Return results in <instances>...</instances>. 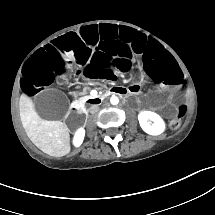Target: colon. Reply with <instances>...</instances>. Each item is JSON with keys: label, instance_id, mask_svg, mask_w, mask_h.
<instances>
[{"label": "colon", "instance_id": "colon-1", "mask_svg": "<svg viewBox=\"0 0 215 215\" xmlns=\"http://www.w3.org/2000/svg\"><path fill=\"white\" fill-rule=\"evenodd\" d=\"M187 106L185 104H182V105H179L177 110H176V113L174 115V117L171 119V122H170V126L174 129L180 127L181 125V122L184 118V116L186 115L187 113Z\"/></svg>", "mask_w": 215, "mask_h": 215}]
</instances>
